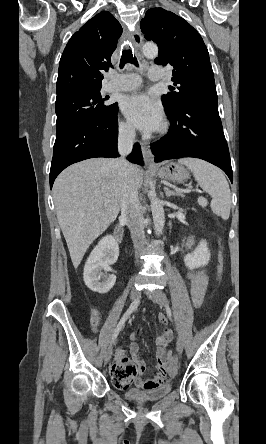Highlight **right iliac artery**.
I'll list each match as a JSON object with an SVG mask.
<instances>
[{
    "instance_id": "82829eb1",
    "label": "right iliac artery",
    "mask_w": 266,
    "mask_h": 444,
    "mask_svg": "<svg viewBox=\"0 0 266 444\" xmlns=\"http://www.w3.org/2000/svg\"><path fill=\"white\" fill-rule=\"evenodd\" d=\"M140 300L137 299L134 302H132V304L129 306V308L127 309V311L124 313V315L122 316V318L120 319L117 327L114 330V333L112 335V342L117 338L119 332L122 330V328L125 325V322L127 321V319L129 318V316L131 315V313L133 311H135L139 305Z\"/></svg>"
}]
</instances>
